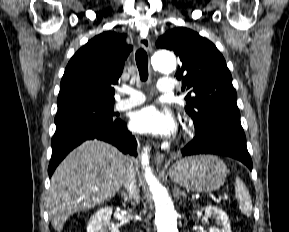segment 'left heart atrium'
<instances>
[{
    "instance_id": "obj_1",
    "label": "left heart atrium",
    "mask_w": 289,
    "mask_h": 232,
    "mask_svg": "<svg viewBox=\"0 0 289 232\" xmlns=\"http://www.w3.org/2000/svg\"><path fill=\"white\" fill-rule=\"evenodd\" d=\"M130 123L132 128L139 133L161 137H170L176 130L172 116L153 105L135 111Z\"/></svg>"
}]
</instances>
